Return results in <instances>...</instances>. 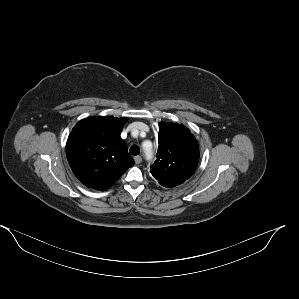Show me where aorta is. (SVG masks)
Returning <instances> with one entry per match:
<instances>
[{"label": "aorta", "instance_id": "1", "mask_svg": "<svg viewBox=\"0 0 299 299\" xmlns=\"http://www.w3.org/2000/svg\"><path fill=\"white\" fill-rule=\"evenodd\" d=\"M148 144H151L150 141H146L143 143V150L147 158H150L152 155V149L148 147Z\"/></svg>", "mask_w": 299, "mask_h": 299}]
</instances>
